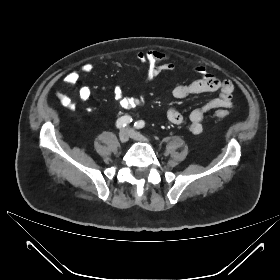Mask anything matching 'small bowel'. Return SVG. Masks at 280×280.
<instances>
[{"instance_id":"c3829d8e","label":"small bowel","mask_w":280,"mask_h":280,"mask_svg":"<svg viewBox=\"0 0 280 280\" xmlns=\"http://www.w3.org/2000/svg\"><path fill=\"white\" fill-rule=\"evenodd\" d=\"M137 58L140 62L147 65L146 80L152 81L164 71L174 69V63L170 57L159 50L139 51ZM94 70V65L90 62L84 63L81 67V72L85 75H90ZM195 71L200 75V78L188 83L178 84L173 88V96L176 98H184L189 95L202 94L209 92H219V96L209 100L204 105L191 111L189 115V131L198 135L203 130L205 114L211 110L223 111L227 114L226 109L233 108L232 92L234 89L233 83L227 79H220L217 76L209 73L205 66L198 65ZM80 72L77 70L71 71L66 76V82L74 85L79 81ZM115 99L122 109L128 110L139 106L143 98L123 95L121 89L116 87L114 90ZM78 97L81 101H88L91 97V90L87 86H81L78 89ZM68 106L71 109L77 107V103L69 102ZM166 118L173 124H182L185 119L182 113L176 108H170L166 111Z\"/></svg>"}]
</instances>
